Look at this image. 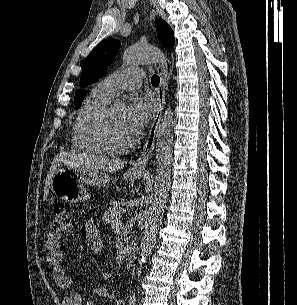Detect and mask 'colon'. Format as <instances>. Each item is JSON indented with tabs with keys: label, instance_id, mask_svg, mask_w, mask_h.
<instances>
[{
	"label": "colon",
	"instance_id": "obj_1",
	"mask_svg": "<svg viewBox=\"0 0 297 305\" xmlns=\"http://www.w3.org/2000/svg\"><path fill=\"white\" fill-rule=\"evenodd\" d=\"M75 226V218L71 207L66 203H58L54 209L51 229L61 234H69Z\"/></svg>",
	"mask_w": 297,
	"mask_h": 305
}]
</instances>
